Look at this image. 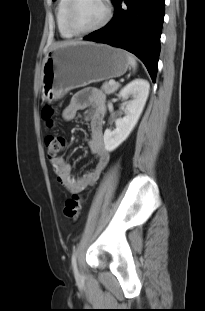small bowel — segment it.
Segmentation results:
<instances>
[{"mask_svg": "<svg viewBox=\"0 0 205 311\" xmlns=\"http://www.w3.org/2000/svg\"><path fill=\"white\" fill-rule=\"evenodd\" d=\"M89 109L84 120L89 124L90 137L87 145L96 157L93 169L79 176L72 173V167L63 156L51 159V165L57 181L71 193H80L96 183L101 172L107 166L110 153L103 140L106 101L103 92L96 88H86L76 93L62 111L64 121H72L80 111Z\"/></svg>", "mask_w": 205, "mask_h": 311, "instance_id": "obj_1", "label": "small bowel"}]
</instances>
